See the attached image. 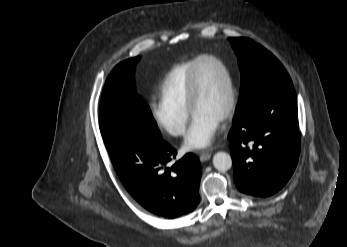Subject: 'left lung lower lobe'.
I'll list each match as a JSON object with an SVG mask.
<instances>
[{
	"mask_svg": "<svg viewBox=\"0 0 347 247\" xmlns=\"http://www.w3.org/2000/svg\"><path fill=\"white\" fill-rule=\"evenodd\" d=\"M237 188L267 197L292 176L300 153L293 85L272 88L234 117L228 135Z\"/></svg>",
	"mask_w": 347,
	"mask_h": 247,
	"instance_id": "obj_1",
	"label": "left lung lower lobe"
}]
</instances>
